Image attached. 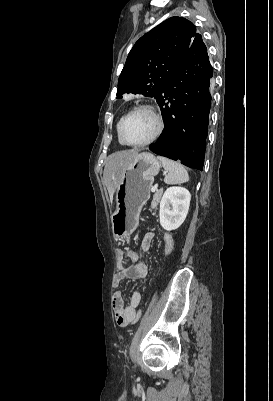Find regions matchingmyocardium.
Returning a JSON list of instances; mask_svg holds the SVG:
<instances>
[{
	"mask_svg": "<svg viewBox=\"0 0 273 401\" xmlns=\"http://www.w3.org/2000/svg\"><path fill=\"white\" fill-rule=\"evenodd\" d=\"M139 112H145V113L152 115L157 122V129H156L155 133L147 140H144L142 142H137V143L128 142L123 137L124 123L131 115H133L135 113H139ZM164 130H165V121H164L163 117L158 113V111L151 105H139V106L133 108L132 110H130L129 112H127L121 118V120L118 124L117 134H118L120 141L124 145L129 146V147H143L148 144H151L152 142H154L158 138H160L161 135L163 134Z\"/></svg>",
	"mask_w": 273,
	"mask_h": 401,
	"instance_id": "myocardium-1",
	"label": "myocardium"
}]
</instances>
